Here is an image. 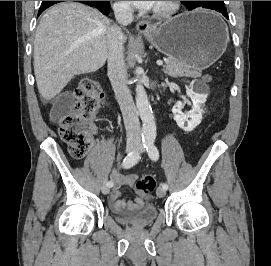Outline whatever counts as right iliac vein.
<instances>
[{
  "label": "right iliac vein",
  "instance_id": "1",
  "mask_svg": "<svg viewBox=\"0 0 271 266\" xmlns=\"http://www.w3.org/2000/svg\"><path fill=\"white\" fill-rule=\"evenodd\" d=\"M138 145L136 143L128 142L126 145V152L134 151L136 150ZM101 191L104 195L108 194L110 191V187L107 185V183H104L101 187Z\"/></svg>",
  "mask_w": 271,
  "mask_h": 266
}]
</instances>
